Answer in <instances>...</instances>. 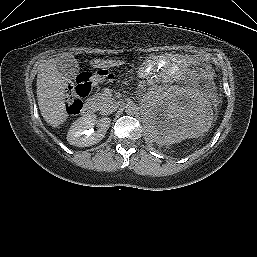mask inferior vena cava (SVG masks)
<instances>
[{
    "instance_id": "602c4592",
    "label": "inferior vena cava",
    "mask_w": 257,
    "mask_h": 257,
    "mask_svg": "<svg viewBox=\"0 0 257 257\" xmlns=\"http://www.w3.org/2000/svg\"><path fill=\"white\" fill-rule=\"evenodd\" d=\"M118 108V105L115 102L109 101L102 109L101 113L104 115L111 114L115 112Z\"/></svg>"
}]
</instances>
